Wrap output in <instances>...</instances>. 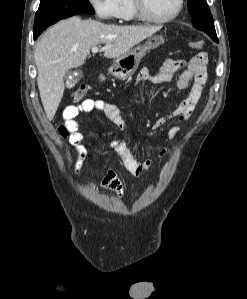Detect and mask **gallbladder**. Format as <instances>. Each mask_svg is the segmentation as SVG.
<instances>
[{
    "instance_id": "obj_1",
    "label": "gallbladder",
    "mask_w": 247,
    "mask_h": 299,
    "mask_svg": "<svg viewBox=\"0 0 247 299\" xmlns=\"http://www.w3.org/2000/svg\"><path fill=\"white\" fill-rule=\"evenodd\" d=\"M81 71H71L66 76V86L67 88H72L81 78Z\"/></svg>"
}]
</instances>
